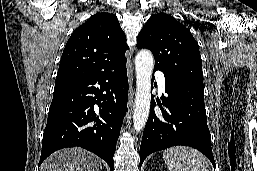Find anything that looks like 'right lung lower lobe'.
I'll return each instance as SVG.
<instances>
[{"label": "right lung lower lobe", "instance_id": "98d812e1", "mask_svg": "<svg viewBox=\"0 0 257 171\" xmlns=\"http://www.w3.org/2000/svg\"><path fill=\"white\" fill-rule=\"evenodd\" d=\"M127 97L126 63L85 79L55 83L39 165L59 149L79 146L104 159L113 171Z\"/></svg>", "mask_w": 257, "mask_h": 171}]
</instances>
